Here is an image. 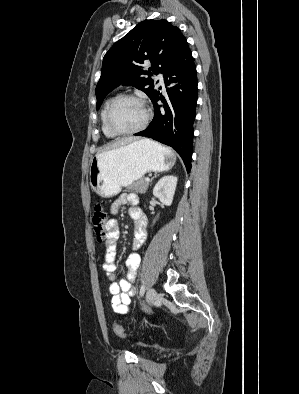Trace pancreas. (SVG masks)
<instances>
[{"instance_id":"cf45deb5","label":"pancreas","mask_w":299,"mask_h":394,"mask_svg":"<svg viewBox=\"0 0 299 394\" xmlns=\"http://www.w3.org/2000/svg\"><path fill=\"white\" fill-rule=\"evenodd\" d=\"M149 186V182L145 181V178H141L135 183L131 184L128 189L131 191H135L136 193L144 194L146 193Z\"/></svg>"}]
</instances>
